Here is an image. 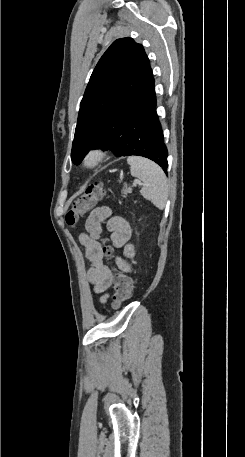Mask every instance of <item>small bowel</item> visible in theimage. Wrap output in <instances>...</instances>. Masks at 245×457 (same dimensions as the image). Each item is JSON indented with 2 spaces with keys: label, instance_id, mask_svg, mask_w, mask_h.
Returning <instances> with one entry per match:
<instances>
[{
  "label": "small bowel",
  "instance_id": "1",
  "mask_svg": "<svg viewBox=\"0 0 245 457\" xmlns=\"http://www.w3.org/2000/svg\"><path fill=\"white\" fill-rule=\"evenodd\" d=\"M103 223L107 224V229L111 233L112 244L117 248H124V255L128 258L135 254L134 248L129 244L131 237V227L129 223L120 216H112V211L107 206L93 209L85 222L86 233L79 237L80 243L85 247L87 259L91 262L87 276L94 286V291L103 294L100 302L104 303L107 299L105 292L111 286L112 272L103 260V249L98 242L102 232ZM118 267L128 272L130 266L121 257L117 258Z\"/></svg>",
  "mask_w": 245,
  "mask_h": 457
}]
</instances>
